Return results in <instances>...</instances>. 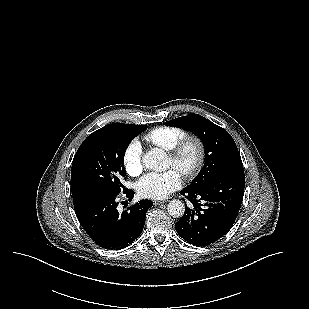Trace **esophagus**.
<instances>
[{"mask_svg": "<svg viewBox=\"0 0 309 309\" xmlns=\"http://www.w3.org/2000/svg\"><path fill=\"white\" fill-rule=\"evenodd\" d=\"M162 203H164V201L153 200V204H154L155 206L160 205V204H162Z\"/></svg>", "mask_w": 309, "mask_h": 309, "instance_id": "1", "label": "esophagus"}]
</instances>
